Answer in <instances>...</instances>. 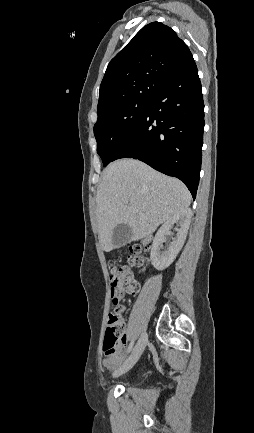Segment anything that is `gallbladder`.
I'll list each match as a JSON object with an SVG mask.
<instances>
[{
    "label": "gallbladder",
    "mask_w": 254,
    "mask_h": 433,
    "mask_svg": "<svg viewBox=\"0 0 254 433\" xmlns=\"http://www.w3.org/2000/svg\"><path fill=\"white\" fill-rule=\"evenodd\" d=\"M132 234V229L127 224L117 225L112 235L114 248L117 249L128 244L131 241Z\"/></svg>",
    "instance_id": "bac80fb5"
}]
</instances>
